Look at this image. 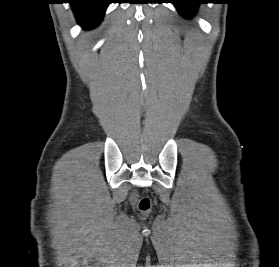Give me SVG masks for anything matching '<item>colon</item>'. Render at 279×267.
<instances>
[{"label": "colon", "mask_w": 279, "mask_h": 267, "mask_svg": "<svg viewBox=\"0 0 279 267\" xmlns=\"http://www.w3.org/2000/svg\"><path fill=\"white\" fill-rule=\"evenodd\" d=\"M151 207H152V203L148 197H143L138 202V208L143 213L149 212Z\"/></svg>", "instance_id": "colon-1"}]
</instances>
